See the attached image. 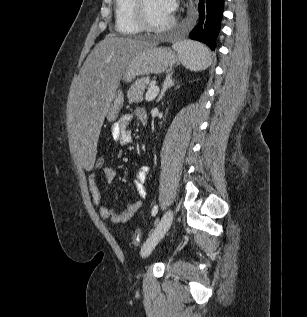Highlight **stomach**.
<instances>
[{
  "mask_svg": "<svg viewBox=\"0 0 307 317\" xmlns=\"http://www.w3.org/2000/svg\"><path fill=\"white\" fill-rule=\"evenodd\" d=\"M178 63V59L171 50L163 47H147L133 55L127 62L121 79L131 82L135 77L149 74H159L171 69ZM122 91L117 90L109 104L107 119L114 121L123 105Z\"/></svg>",
  "mask_w": 307,
  "mask_h": 317,
  "instance_id": "1",
  "label": "stomach"
}]
</instances>
